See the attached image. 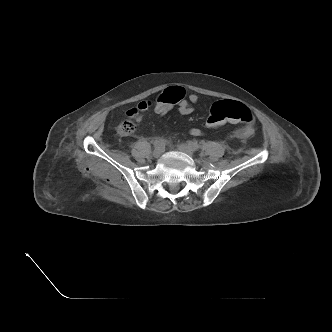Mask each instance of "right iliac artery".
I'll list each match as a JSON object with an SVG mask.
<instances>
[{
  "instance_id": "right-iliac-artery-1",
  "label": "right iliac artery",
  "mask_w": 332,
  "mask_h": 332,
  "mask_svg": "<svg viewBox=\"0 0 332 332\" xmlns=\"http://www.w3.org/2000/svg\"><path fill=\"white\" fill-rule=\"evenodd\" d=\"M165 144V140L163 138H158L154 142V147H162Z\"/></svg>"
}]
</instances>
